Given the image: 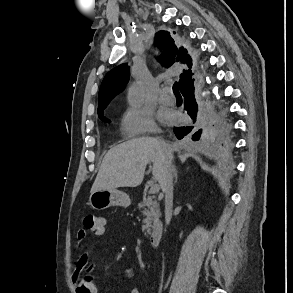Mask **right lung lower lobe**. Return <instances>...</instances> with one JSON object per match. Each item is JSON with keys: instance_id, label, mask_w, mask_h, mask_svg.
Listing matches in <instances>:
<instances>
[{"instance_id": "right-lung-lower-lobe-1", "label": "right lung lower lobe", "mask_w": 293, "mask_h": 293, "mask_svg": "<svg viewBox=\"0 0 293 293\" xmlns=\"http://www.w3.org/2000/svg\"><path fill=\"white\" fill-rule=\"evenodd\" d=\"M181 93L183 94L185 98V104L184 107L187 110L188 114L193 119V122L196 121L197 111H198V105L195 100L194 95V79H191L190 81L186 82L181 88ZM193 127H178L174 128V133L176 134L178 139H182L184 136L189 134L192 131ZM221 132L225 134L224 141H228L226 135L229 133V126L227 124H222L220 128ZM201 130H198L193 135V140H198L200 138Z\"/></svg>"}]
</instances>
